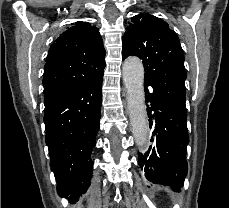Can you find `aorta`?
<instances>
[{"instance_id": "aorta-1", "label": "aorta", "mask_w": 229, "mask_h": 208, "mask_svg": "<svg viewBox=\"0 0 229 208\" xmlns=\"http://www.w3.org/2000/svg\"><path fill=\"white\" fill-rule=\"evenodd\" d=\"M122 72L132 133L137 146L145 148L149 138V127L144 100V67L139 58L130 57L124 61Z\"/></svg>"}]
</instances>
